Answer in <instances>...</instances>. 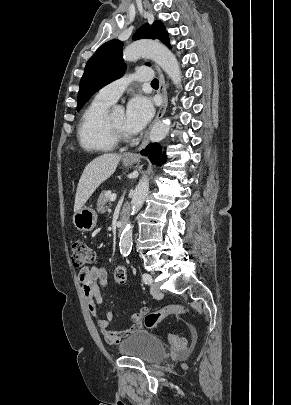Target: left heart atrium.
Wrapping results in <instances>:
<instances>
[{
    "label": "left heart atrium",
    "instance_id": "1",
    "mask_svg": "<svg viewBox=\"0 0 291 405\" xmlns=\"http://www.w3.org/2000/svg\"><path fill=\"white\" fill-rule=\"evenodd\" d=\"M153 116L150 100L143 96H135L127 104L125 127L130 134L139 133Z\"/></svg>",
    "mask_w": 291,
    "mask_h": 405
}]
</instances>
